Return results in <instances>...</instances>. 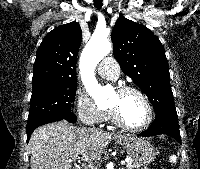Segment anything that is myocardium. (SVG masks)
Segmentation results:
<instances>
[{
  "instance_id": "myocardium-1",
  "label": "myocardium",
  "mask_w": 200,
  "mask_h": 169,
  "mask_svg": "<svg viewBox=\"0 0 200 169\" xmlns=\"http://www.w3.org/2000/svg\"><path fill=\"white\" fill-rule=\"evenodd\" d=\"M116 92L118 94H125V93L132 92V93L139 95L143 99V101L147 107L148 116H147L146 122L143 125H141L139 127H132V126L127 125L122 120V118L120 117L119 111L115 107L108 106L109 115H110L112 121L117 126L121 127L124 130L130 131V132H141V131L147 129L151 125V123L153 121V117H154L153 106H152L151 101L149 100L148 96L141 89H139L135 86H131V85H122L116 89Z\"/></svg>"
}]
</instances>
